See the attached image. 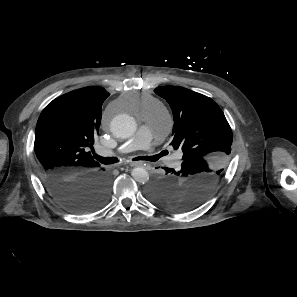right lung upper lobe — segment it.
<instances>
[{
	"label": "right lung upper lobe",
	"instance_id": "right-lung-upper-lobe-1",
	"mask_svg": "<svg viewBox=\"0 0 297 297\" xmlns=\"http://www.w3.org/2000/svg\"><path fill=\"white\" fill-rule=\"evenodd\" d=\"M109 93L101 87H86L50 102L40 114L34 149L44 173L61 171L79 175L97 169L88 148L101 122V106Z\"/></svg>",
	"mask_w": 297,
	"mask_h": 297
}]
</instances>
